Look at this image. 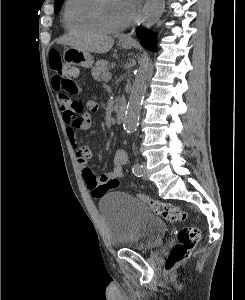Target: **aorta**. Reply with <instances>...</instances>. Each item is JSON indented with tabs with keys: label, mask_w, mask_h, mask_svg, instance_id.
<instances>
[{
	"label": "aorta",
	"mask_w": 245,
	"mask_h": 300,
	"mask_svg": "<svg viewBox=\"0 0 245 300\" xmlns=\"http://www.w3.org/2000/svg\"><path fill=\"white\" fill-rule=\"evenodd\" d=\"M165 8V0H148L142 12V23L146 28L155 25L162 16ZM146 91V70L141 67L135 76L132 90L127 104L124 129L134 132L138 125L141 103Z\"/></svg>",
	"instance_id": "1"
}]
</instances>
